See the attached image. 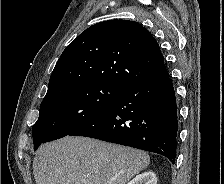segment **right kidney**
Listing matches in <instances>:
<instances>
[{"mask_svg":"<svg viewBox=\"0 0 224 184\" xmlns=\"http://www.w3.org/2000/svg\"><path fill=\"white\" fill-rule=\"evenodd\" d=\"M128 184H157V178L154 172L147 171L137 175Z\"/></svg>","mask_w":224,"mask_h":184,"instance_id":"ca27d5eb","label":"right kidney"}]
</instances>
